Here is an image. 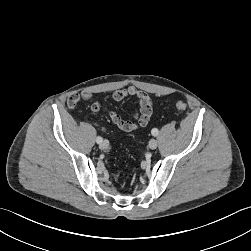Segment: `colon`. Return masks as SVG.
Wrapping results in <instances>:
<instances>
[{"instance_id": "colon-1", "label": "colon", "mask_w": 251, "mask_h": 251, "mask_svg": "<svg viewBox=\"0 0 251 251\" xmlns=\"http://www.w3.org/2000/svg\"><path fill=\"white\" fill-rule=\"evenodd\" d=\"M175 107H176V109H177L179 112H184V111L186 110V108H187L186 104H185L184 102H181V101L177 102V103L175 104ZM114 178H115V179H118V178H119V175H118V174H115V175H114Z\"/></svg>"}]
</instances>
